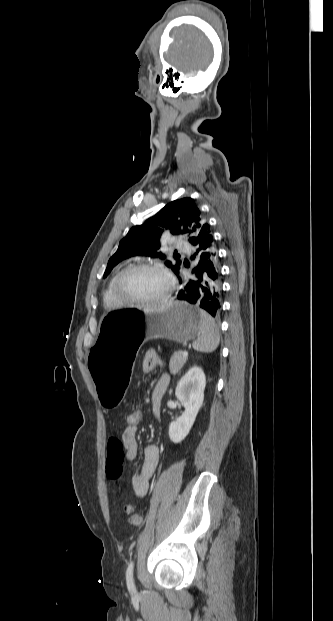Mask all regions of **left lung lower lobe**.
Segmentation results:
<instances>
[{
    "mask_svg": "<svg viewBox=\"0 0 333 621\" xmlns=\"http://www.w3.org/2000/svg\"><path fill=\"white\" fill-rule=\"evenodd\" d=\"M191 243L196 248L192 259L198 264L192 269L193 279L182 280L179 272L176 274L183 287L175 294V299L197 304L216 317L221 309L222 282L219 256L209 225L203 226Z\"/></svg>",
    "mask_w": 333,
    "mask_h": 621,
    "instance_id": "left-lung-lower-lobe-1",
    "label": "left lung lower lobe"
}]
</instances>
